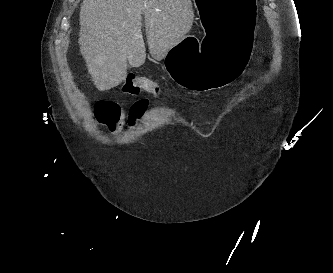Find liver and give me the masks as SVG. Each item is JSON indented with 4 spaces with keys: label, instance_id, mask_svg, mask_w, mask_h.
<instances>
[{
    "label": "liver",
    "instance_id": "obj_1",
    "mask_svg": "<svg viewBox=\"0 0 333 273\" xmlns=\"http://www.w3.org/2000/svg\"><path fill=\"white\" fill-rule=\"evenodd\" d=\"M142 15L151 56L164 59L190 31L191 0H84L80 7V52L100 91L118 86L128 65L146 59Z\"/></svg>",
    "mask_w": 333,
    "mask_h": 273
}]
</instances>
